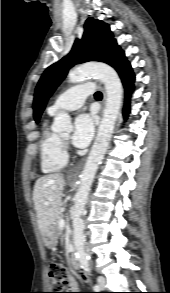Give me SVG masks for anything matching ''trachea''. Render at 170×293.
Returning <instances> with one entry per match:
<instances>
[{
    "label": "trachea",
    "mask_w": 170,
    "mask_h": 293,
    "mask_svg": "<svg viewBox=\"0 0 170 293\" xmlns=\"http://www.w3.org/2000/svg\"><path fill=\"white\" fill-rule=\"evenodd\" d=\"M94 96H95L96 98H101V97H102V94H101V92L97 91V92L94 94Z\"/></svg>",
    "instance_id": "trachea-1"
}]
</instances>
